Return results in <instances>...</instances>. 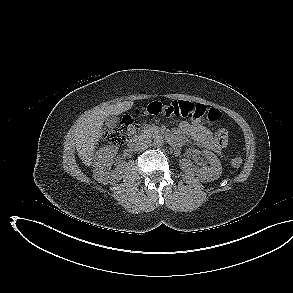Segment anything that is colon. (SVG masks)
<instances>
[{
  "instance_id": "colon-1",
  "label": "colon",
  "mask_w": 293,
  "mask_h": 293,
  "mask_svg": "<svg viewBox=\"0 0 293 293\" xmlns=\"http://www.w3.org/2000/svg\"><path fill=\"white\" fill-rule=\"evenodd\" d=\"M147 117H166V118H191L194 120L207 119L210 122H216L220 119L221 113L215 108H207L200 103H194L186 100H175L170 104L153 102L141 113ZM137 124L132 116L121 117L113 125L105 130V136L114 144H124L137 131ZM229 139L228 131L225 128H218L216 133V143L218 147L223 148ZM242 160L240 157H233L230 164L233 168L240 167Z\"/></svg>"
}]
</instances>
